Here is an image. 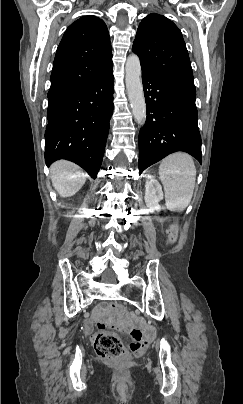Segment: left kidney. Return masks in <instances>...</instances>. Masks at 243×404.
<instances>
[{"label": "left kidney", "mask_w": 243, "mask_h": 404, "mask_svg": "<svg viewBox=\"0 0 243 404\" xmlns=\"http://www.w3.org/2000/svg\"><path fill=\"white\" fill-rule=\"evenodd\" d=\"M146 210L149 214H153V212H160L161 206H159V202L163 200V192L162 188L154 178H150L147 180L145 184V196H144Z\"/></svg>", "instance_id": "left-kidney-1"}]
</instances>
